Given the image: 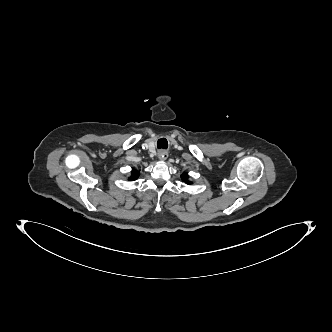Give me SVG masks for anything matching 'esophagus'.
Here are the masks:
<instances>
[{
  "label": "esophagus",
  "instance_id": "34e87169",
  "mask_svg": "<svg viewBox=\"0 0 332 332\" xmlns=\"http://www.w3.org/2000/svg\"><path fill=\"white\" fill-rule=\"evenodd\" d=\"M167 157H168V154H167V152L164 151V150H162V151H160V152L158 153V158H159L160 160H165V159H167Z\"/></svg>",
  "mask_w": 332,
  "mask_h": 332
}]
</instances>
